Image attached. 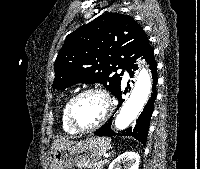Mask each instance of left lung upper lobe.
<instances>
[{
  "label": "left lung upper lobe",
  "mask_w": 200,
  "mask_h": 169,
  "mask_svg": "<svg viewBox=\"0 0 200 169\" xmlns=\"http://www.w3.org/2000/svg\"><path fill=\"white\" fill-rule=\"evenodd\" d=\"M150 47L142 27L129 15L105 13L70 33L55 60L53 88L100 83L114 95L118 69H129Z\"/></svg>",
  "instance_id": "left-lung-upper-lobe-1"
}]
</instances>
